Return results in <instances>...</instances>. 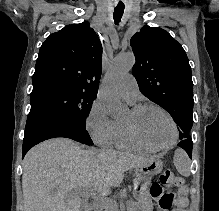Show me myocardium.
Instances as JSON below:
<instances>
[{
    "mask_svg": "<svg viewBox=\"0 0 219 211\" xmlns=\"http://www.w3.org/2000/svg\"><path fill=\"white\" fill-rule=\"evenodd\" d=\"M147 108H155L158 109L159 111H161L163 114H165L167 116V118L169 119V121L171 122L172 128H173V140L165 145V146H156L153 145L151 143H149L147 140L144 139V137L140 134V132L138 131L137 127L135 126L134 122L131 120H125V126L128 130V133L130 134V136L132 137V139L137 142L138 144L144 146L147 149H151V150H155V151H161V150H167L172 148L178 140V128H177V124L176 121L174 120L173 116L171 115V113L166 110L164 107H162L161 105L155 104V103H140L137 104L135 106L132 107L131 112L132 113H138L141 112L144 109Z\"/></svg>",
    "mask_w": 219,
    "mask_h": 211,
    "instance_id": "f54148a6",
    "label": "myocardium"
}]
</instances>
